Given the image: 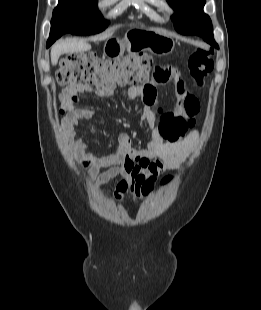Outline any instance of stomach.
Wrapping results in <instances>:
<instances>
[{"instance_id": "stomach-1", "label": "stomach", "mask_w": 261, "mask_h": 310, "mask_svg": "<svg viewBox=\"0 0 261 310\" xmlns=\"http://www.w3.org/2000/svg\"><path fill=\"white\" fill-rule=\"evenodd\" d=\"M172 38L148 29H134L126 34L125 40L109 39L104 45V53L110 58L122 57L125 50H147L155 55H167L173 51Z\"/></svg>"}]
</instances>
